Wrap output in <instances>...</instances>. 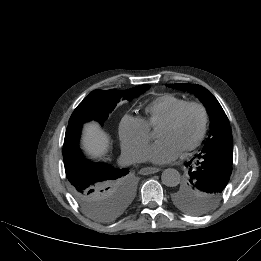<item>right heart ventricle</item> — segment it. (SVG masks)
Listing matches in <instances>:
<instances>
[{
  "label": "right heart ventricle",
  "mask_w": 261,
  "mask_h": 261,
  "mask_svg": "<svg viewBox=\"0 0 261 261\" xmlns=\"http://www.w3.org/2000/svg\"><path fill=\"white\" fill-rule=\"evenodd\" d=\"M187 102L186 99L173 95L164 94L145 107V116L142 118L148 129L162 125L181 105Z\"/></svg>",
  "instance_id": "e07e8e85"
}]
</instances>
